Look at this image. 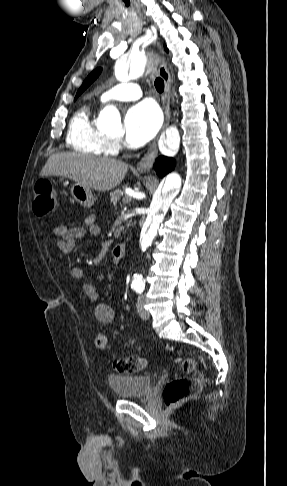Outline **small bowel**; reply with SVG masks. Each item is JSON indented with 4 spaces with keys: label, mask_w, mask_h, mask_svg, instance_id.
<instances>
[{
    "label": "small bowel",
    "mask_w": 287,
    "mask_h": 486,
    "mask_svg": "<svg viewBox=\"0 0 287 486\" xmlns=\"http://www.w3.org/2000/svg\"><path fill=\"white\" fill-rule=\"evenodd\" d=\"M96 216L90 214L82 218V223L79 226H52L51 232L55 235V245L63 253H70L74 247L76 240L86 236H96L100 233V227L95 223ZM114 262H119V259L113 258ZM70 275L73 279L80 281L81 288L84 295L94 303V315L98 322L102 324H109L113 321L115 312L111 305L103 302L100 298L98 286L95 283L86 281V273L82 268L73 267L70 270Z\"/></svg>",
    "instance_id": "small-bowel-1"
}]
</instances>
